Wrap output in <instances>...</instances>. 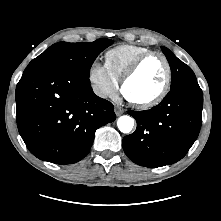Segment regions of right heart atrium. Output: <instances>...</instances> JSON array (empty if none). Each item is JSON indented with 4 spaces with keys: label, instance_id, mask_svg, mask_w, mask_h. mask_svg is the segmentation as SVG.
<instances>
[{
    "label": "right heart atrium",
    "instance_id": "right-heart-atrium-1",
    "mask_svg": "<svg viewBox=\"0 0 221 221\" xmlns=\"http://www.w3.org/2000/svg\"><path fill=\"white\" fill-rule=\"evenodd\" d=\"M87 80L93 93L100 99H117L118 82L110 75L104 64L97 60L92 61L87 70Z\"/></svg>",
    "mask_w": 221,
    "mask_h": 221
}]
</instances>
